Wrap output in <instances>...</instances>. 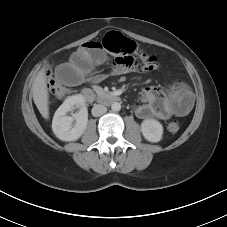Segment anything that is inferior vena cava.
<instances>
[{"label":"inferior vena cava","instance_id":"obj_1","mask_svg":"<svg viewBox=\"0 0 227 227\" xmlns=\"http://www.w3.org/2000/svg\"><path fill=\"white\" fill-rule=\"evenodd\" d=\"M106 111H107V108L105 106L96 104L92 108L91 112H92L93 116L98 117V116H101V115L105 114Z\"/></svg>","mask_w":227,"mask_h":227}]
</instances>
